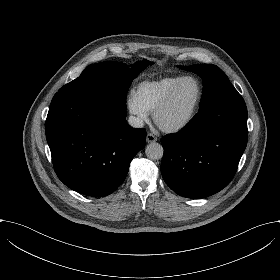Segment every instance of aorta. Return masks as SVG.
I'll return each mask as SVG.
<instances>
[{"mask_svg":"<svg viewBox=\"0 0 280 280\" xmlns=\"http://www.w3.org/2000/svg\"><path fill=\"white\" fill-rule=\"evenodd\" d=\"M163 147L157 142L149 143L146 147L145 153L147 158L157 160L163 157Z\"/></svg>","mask_w":280,"mask_h":280,"instance_id":"obj_1","label":"aorta"}]
</instances>
